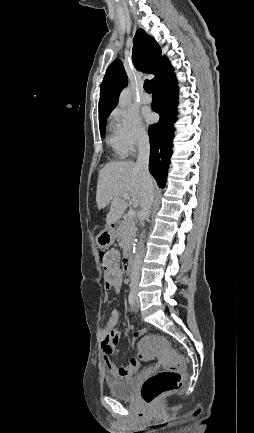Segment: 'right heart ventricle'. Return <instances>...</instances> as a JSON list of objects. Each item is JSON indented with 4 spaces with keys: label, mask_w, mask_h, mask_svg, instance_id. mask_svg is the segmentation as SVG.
I'll use <instances>...</instances> for the list:
<instances>
[{
    "label": "right heart ventricle",
    "mask_w": 254,
    "mask_h": 433,
    "mask_svg": "<svg viewBox=\"0 0 254 433\" xmlns=\"http://www.w3.org/2000/svg\"><path fill=\"white\" fill-rule=\"evenodd\" d=\"M107 144L109 145V147L112 149V151L114 152V154L116 156H118V157L124 156V154L120 148L119 142H118L116 136L114 135V133L111 134L110 136H108Z\"/></svg>",
    "instance_id": "1"
}]
</instances>
